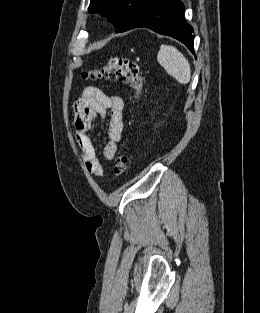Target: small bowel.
Instances as JSON below:
<instances>
[{
    "mask_svg": "<svg viewBox=\"0 0 260 313\" xmlns=\"http://www.w3.org/2000/svg\"><path fill=\"white\" fill-rule=\"evenodd\" d=\"M73 109L75 135L82 161L91 175L103 177L104 167L97 157L90 131L94 120L98 116H105L107 110H110L109 142L104 147L103 155L105 159L112 160L116 155L117 144L120 142L125 129L124 102L118 96L105 94L98 87L87 86L82 95L75 101Z\"/></svg>",
    "mask_w": 260,
    "mask_h": 313,
    "instance_id": "obj_1",
    "label": "small bowel"
}]
</instances>
